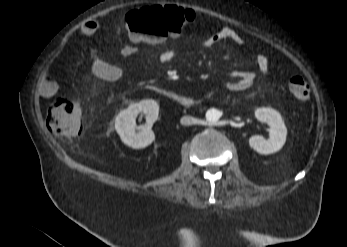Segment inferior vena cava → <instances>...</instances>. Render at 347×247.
Wrapping results in <instances>:
<instances>
[{"mask_svg":"<svg viewBox=\"0 0 347 247\" xmlns=\"http://www.w3.org/2000/svg\"><path fill=\"white\" fill-rule=\"evenodd\" d=\"M180 122L182 125H192L196 123V119L191 116H183Z\"/></svg>","mask_w":347,"mask_h":247,"instance_id":"obj_1","label":"inferior vena cava"}]
</instances>
